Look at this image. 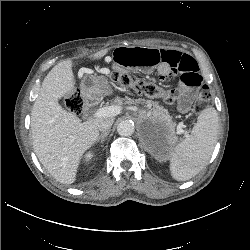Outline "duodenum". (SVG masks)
Wrapping results in <instances>:
<instances>
[{"label":"duodenum","instance_id":"duodenum-1","mask_svg":"<svg viewBox=\"0 0 250 250\" xmlns=\"http://www.w3.org/2000/svg\"><path fill=\"white\" fill-rule=\"evenodd\" d=\"M95 103H96V100H95V99H88V100L86 101V108H91V107H93V106L95 105Z\"/></svg>","mask_w":250,"mask_h":250}]
</instances>
